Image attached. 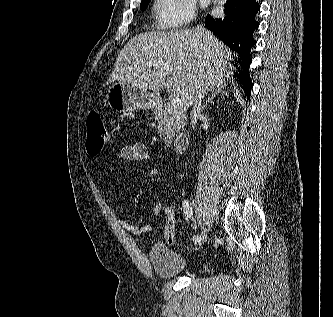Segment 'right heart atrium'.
Returning <instances> with one entry per match:
<instances>
[{"label": "right heart atrium", "mask_w": 333, "mask_h": 317, "mask_svg": "<svg viewBox=\"0 0 333 317\" xmlns=\"http://www.w3.org/2000/svg\"><path fill=\"white\" fill-rule=\"evenodd\" d=\"M196 17L194 0H155L154 18L163 30L187 26Z\"/></svg>", "instance_id": "right-heart-atrium-1"}]
</instances>
